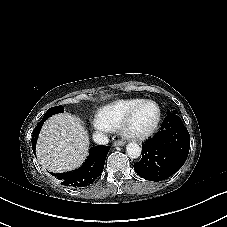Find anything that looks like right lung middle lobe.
<instances>
[{
  "mask_svg": "<svg viewBox=\"0 0 227 227\" xmlns=\"http://www.w3.org/2000/svg\"><path fill=\"white\" fill-rule=\"evenodd\" d=\"M64 110V107L63 106H56V107H51L50 109H48V111L45 113V115L43 116V119L42 120H46L48 119L50 116H52L53 114H56V113H61L63 112Z\"/></svg>",
  "mask_w": 227,
  "mask_h": 227,
  "instance_id": "1",
  "label": "right lung middle lobe"
}]
</instances>
